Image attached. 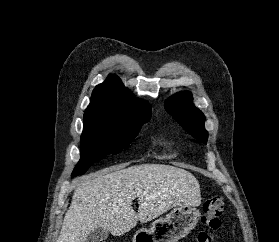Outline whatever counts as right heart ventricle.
<instances>
[{
    "instance_id": "obj_1",
    "label": "right heart ventricle",
    "mask_w": 279,
    "mask_h": 242,
    "mask_svg": "<svg viewBox=\"0 0 279 242\" xmlns=\"http://www.w3.org/2000/svg\"><path fill=\"white\" fill-rule=\"evenodd\" d=\"M168 157H175L176 155L175 154H169L167 155Z\"/></svg>"
}]
</instances>
